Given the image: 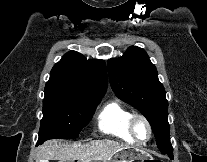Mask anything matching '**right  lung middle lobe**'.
Returning <instances> with one entry per match:
<instances>
[{
    "label": "right lung middle lobe",
    "mask_w": 207,
    "mask_h": 162,
    "mask_svg": "<svg viewBox=\"0 0 207 162\" xmlns=\"http://www.w3.org/2000/svg\"><path fill=\"white\" fill-rule=\"evenodd\" d=\"M101 99L45 91L38 143L52 138H77Z\"/></svg>",
    "instance_id": "1"
}]
</instances>
